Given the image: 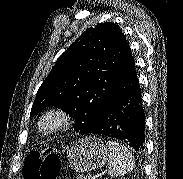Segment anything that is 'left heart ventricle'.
Returning a JSON list of instances; mask_svg holds the SVG:
<instances>
[{
  "mask_svg": "<svg viewBox=\"0 0 183 179\" xmlns=\"http://www.w3.org/2000/svg\"><path fill=\"white\" fill-rule=\"evenodd\" d=\"M53 123H54L53 120H49V121H47L46 124H47L48 126H50V125H52Z\"/></svg>",
  "mask_w": 183,
  "mask_h": 179,
  "instance_id": "left-heart-ventricle-1",
  "label": "left heart ventricle"
}]
</instances>
